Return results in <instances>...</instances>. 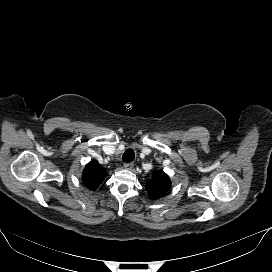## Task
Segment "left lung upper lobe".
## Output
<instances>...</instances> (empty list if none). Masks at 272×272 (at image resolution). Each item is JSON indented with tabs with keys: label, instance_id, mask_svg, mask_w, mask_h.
I'll return each instance as SVG.
<instances>
[{
	"label": "left lung upper lobe",
	"instance_id": "1",
	"mask_svg": "<svg viewBox=\"0 0 272 272\" xmlns=\"http://www.w3.org/2000/svg\"><path fill=\"white\" fill-rule=\"evenodd\" d=\"M152 179L146 184V190L152 199H158L165 195V192L169 190L171 181L167 174L162 170H158L152 173Z\"/></svg>",
	"mask_w": 272,
	"mask_h": 272
}]
</instances>
